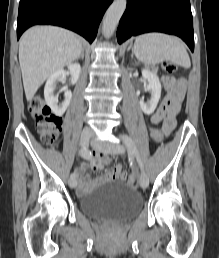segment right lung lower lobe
I'll list each match as a JSON object with an SVG mask.
<instances>
[{"mask_svg": "<svg viewBox=\"0 0 219 258\" xmlns=\"http://www.w3.org/2000/svg\"><path fill=\"white\" fill-rule=\"evenodd\" d=\"M113 0H20L17 39L37 24L57 25L82 35L89 43Z\"/></svg>", "mask_w": 219, "mask_h": 258, "instance_id": "1", "label": "right lung lower lobe"}]
</instances>
